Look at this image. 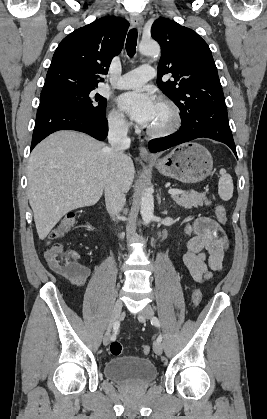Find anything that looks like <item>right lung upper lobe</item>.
I'll return each instance as SVG.
<instances>
[{"mask_svg": "<svg viewBox=\"0 0 267 419\" xmlns=\"http://www.w3.org/2000/svg\"><path fill=\"white\" fill-rule=\"evenodd\" d=\"M128 28L126 19L109 16L73 31L58 45L41 93L97 87L100 75L107 74L112 58L121 52Z\"/></svg>", "mask_w": 267, "mask_h": 419, "instance_id": "1", "label": "right lung upper lobe"}]
</instances>
